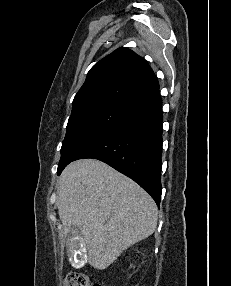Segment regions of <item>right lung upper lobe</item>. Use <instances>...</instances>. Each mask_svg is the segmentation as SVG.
<instances>
[{
    "label": "right lung upper lobe",
    "instance_id": "obj_1",
    "mask_svg": "<svg viewBox=\"0 0 231 286\" xmlns=\"http://www.w3.org/2000/svg\"><path fill=\"white\" fill-rule=\"evenodd\" d=\"M158 86L148 63L130 49L121 47L90 69L74 97L72 112L107 101L133 108Z\"/></svg>",
    "mask_w": 231,
    "mask_h": 286
}]
</instances>
